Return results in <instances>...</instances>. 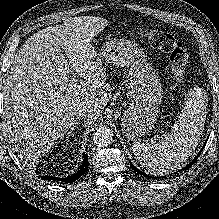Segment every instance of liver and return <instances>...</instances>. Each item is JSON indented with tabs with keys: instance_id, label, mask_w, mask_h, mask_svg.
Returning <instances> with one entry per match:
<instances>
[{
	"instance_id": "6515ba94",
	"label": "liver",
	"mask_w": 219,
	"mask_h": 219,
	"mask_svg": "<svg viewBox=\"0 0 219 219\" xmlns=\"http://www.w3.org/2000/svg\"><path fill=\"white\" fill-rule=\"evenodd\" d=\"M107 24L99 17L68 18L36 32L15 55L4 86L3 122L28 166L67 134L78 107L91 111L87 121L92 123L110 101L112 88L91 44ZM74 71L85 83H72Z\"/></svg>"
}]
</instances>
